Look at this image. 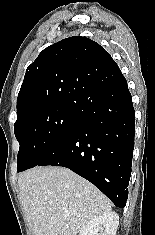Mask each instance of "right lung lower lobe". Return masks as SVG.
Segmentation results:
<instances>
[{"mask_svg": "<svg viewBox=\"0 0 155 235\" xmlns=\"http://www.w3.org/2000/svg\"><path fill=\"white\" fill-rule=\"evenodd\" d=\"M87 97L78 107L82 125L38 166L67 167L123 208L135 135V111L127 81L120 75L95 87Z\"/></svg>", "mask_w": 155, "mask_h": 235, "instance_id": "right-lung-lower-lobe-1", "label": "right lung lower lobe"}]
</instances>
